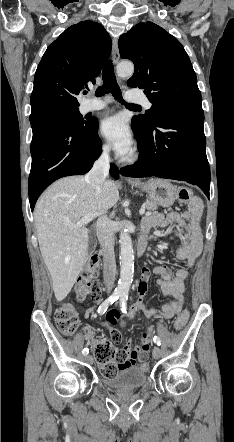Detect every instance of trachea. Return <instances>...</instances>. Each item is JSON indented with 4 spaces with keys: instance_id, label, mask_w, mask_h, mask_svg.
Returning a JSON list of instances; mask_svg holds the SVG:
<instances>
[{
    "instance_id": "3493384b",
    "label": "trachea",
    "mask_w": 234,
    "mask_h": 442,
    "mask_svg": "<svg viewBox=\"0 0 234 442\" xmlns=\"http://www.w3.org/2000/svg\"><path fill=\"white\" fill-rule=\"evenodd\" d=\"M102 79L103 85L97 88L96 96L101 97L111 92L117 101L124 103L127 107H139L136 104H129L123 101L121 89L116 81L112 60L106 62L102 71Z\"/></svg>"
}]
</instances>
